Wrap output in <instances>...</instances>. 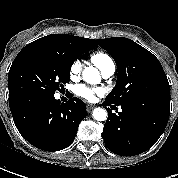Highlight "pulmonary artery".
Wrapping results in <instances>:
<instances>
[{
    "mask_svg": "<svg viewBox=\"0 0 178 178\" xmlns=\"http://www.w3.org/2000/svg\"><path fill=\"white\" fill-rule=\"evenodd\" d=\"M115 64H110L101 73L104 78H110L115 73Z\"/></svg>",
    "mask_w": 178,
    "mask_h": 178,
    "instance_id": "pulmonary-artery-1",
    "label": "pulmonary artery"
}]
</instances>
